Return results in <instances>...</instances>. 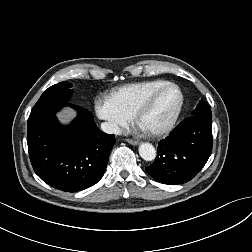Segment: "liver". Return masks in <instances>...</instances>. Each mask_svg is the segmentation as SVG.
Instances as JSON below:
<instances>
[{
  "mask_svg": "<svg viewBox=\"0 0 252 252\" xmlns=\"http://www.w3.org/2000/svg\"><path fill=\"white\" fill-rule=\"evenodd\" d=\"M74 116V112H72L71 110H65L63 113H59L57 115L58 119L62 122V123H67L72 117Z\"/></svg>",
  "mask_w": 252,
  "mask_h": 252,
  "instance_id": "1",
  "label": "liver"
}]
</instances>
